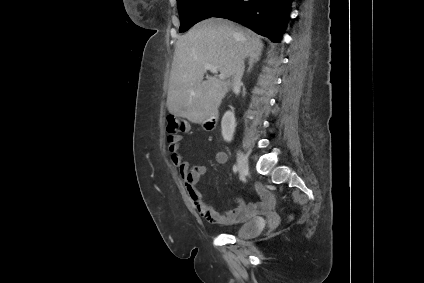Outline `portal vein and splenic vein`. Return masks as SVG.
<instances>
[{"mask_svg": "<svg viewBox=\"0 0 424 283\" xmlns=\"http://www.w3.org/2000/svg\"><path fill=\"white\" fill-rule=\"evenodd\" d=\"M204 68H205L206 70L211 71L212 73H217V72H218L217 67H216V66H214V65H212V64H206V65L204 66ZM219 79H224V75H223V74H220V75H219Z\"/></svg>", "mask_w": 424, "mask_h": 283, "instance_id": "1", "label": "portal vein and splenic vein"}]
</instances>
